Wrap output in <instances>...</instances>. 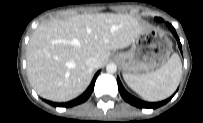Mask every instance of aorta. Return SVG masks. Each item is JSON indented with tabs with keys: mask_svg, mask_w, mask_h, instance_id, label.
I'll list each match as a JSON object with an SVG mask.
<instances>
[{
	"mask_svg": "<svg viewBox=\"0 0 203 123\" xmlns=\"http://www.w3.org/2000/svg\"><path fill=\"white\" fill-rule=\"evenodd\" d=\"M106 71L108 73H115L117 71V66L114 64V63H109L107 66H106Z\"/></svg>",
	"mask_w": 203,
	"mask_h": 123,
	"instance_id": "obj_1",
	"label": "aorta"
}]
</instances>
